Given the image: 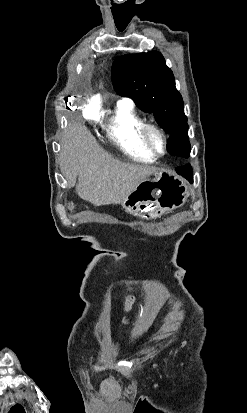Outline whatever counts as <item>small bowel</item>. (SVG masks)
Wrapping results in <instances>:
<instances>
[{"label": "small bowel", "mask_w": 247, "mask_h": 413, "mask_svg": "<svg viewBox=\"0 0 247 413\" xmlns=\"http://www.w3.org/2000/svg\"><path fill=\"white\" fill-rule=\"evenodd\" d=\"M136 298L133 295H129L123 298V312L126 313L128 312L132 305L134 304ZM124 323H128V320L126 318L123 319Z\"/></svg>", "instance_id": "c3829d8e"}]
</instances>
